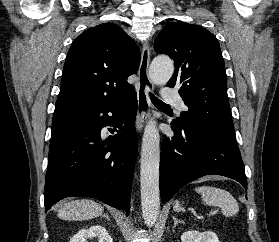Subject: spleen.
I'll return each mask as SVG.
<instances>
[{
  "mask_svg": "<svg viewBox=\"0 0 279 242\" xmlns=\"http://www.w3.org/2000/svg\"><path fill=\"white\" fill-rule=\"evenodd\" d=\"M195 191L201 195L205 205L220 207L223 215L227 217L233 216L239 211L236 199L224 189L203 185L196 187ZM173 208L175 211L181 210L178 201L175 202Z\"/></svg>",
  "mask_w": 279,
  "mask_h": 242,
  "instance_id": "3e777b00",
  "label": "spleen"
}]
</instances>
